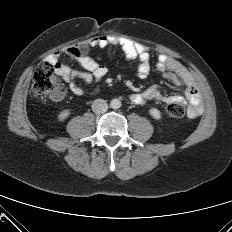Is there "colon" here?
I'll return each instance as SVG.
<instances>
[{"instance_id": "obj_1", "label": "colon", "mask_w": 232, "mask_h": 232, "mask_svg": "<svg viewBox=\"0 0 232 232\" xmlns=\"http://www.w3.org/2000/svg\"><path fill=\"white\" fill-rule=\"evenodd\" d=\"M90 42H81L69 47L66 53L71 58H79L86 55L90 49ZM62 90L59 79L54 74V63L43 61L37 65L33 74L31 95L42 99L58 95ZM164 110L173 118H181L186 114V107L181 102L166 103Z\"/></svg>"}]
</instances>
